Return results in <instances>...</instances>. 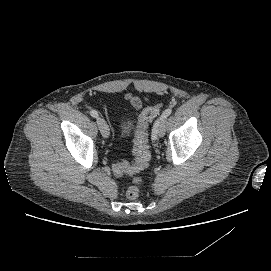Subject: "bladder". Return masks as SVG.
Wrapping results in <instances>:
<instances>
[{
	"mask_svg": "<svg viewBox=\"0 0 271 271\" xmlns=\"http://www.w3.org/2000/svg\"><path fill=\"white\" fill-rule=\"evenodd\" d=\"M134 127V119L131 116L121 117L118 121V134L121 138H127Z\"/></svg>",
	"mask_w": 271,
	"mask_h": 271,
	"instance_id": "obj_1",
	"label": "bladder"
}]
</instances>
